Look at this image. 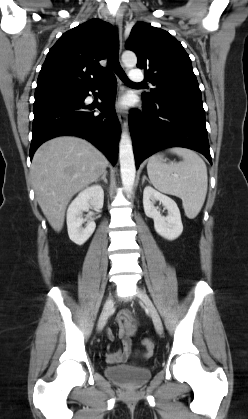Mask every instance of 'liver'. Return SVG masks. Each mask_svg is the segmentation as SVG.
I'll return each mask as SVG.
<instances>
[{"label":"liver","mask_w":248,"mask_h":419,"mask_svg":"<svg viewBox=\"0 0 248 419\" xmlns=\"http://www.w3.org/2000/svg\"><path fill=\"white\" fill-rule=\"evenodd\" d=\"M105 155L85 139L61 136L35 152L31 178L36 200L51 227L61 231L71 198L97 181L108 166Z\"/></svg>","instance_id":"obj_1"}]
</instances>
